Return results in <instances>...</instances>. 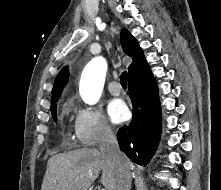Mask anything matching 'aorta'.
<instances>
[{
  "instance_id": "aorta-1",
  "label": "aorta",
  "mask_w": 221,
  "mask_h": 190,
  "mask_svg": "<svg viewBox=\"0 0 221 190\" xmlns=\"http://www.w3.org/2000/svg\"><path fill=\"white\" fill-rule=\"evenodd\" d=\"M107 62L99 56L92 59L85 67L80 81L79 91L83 101L93 105L99 100L105 82Z\"/></svg>"
}]
</instances>
